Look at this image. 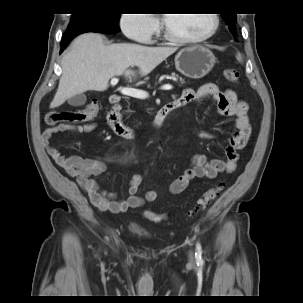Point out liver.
Returning a JSON list of instances; mask_svg holds the SVG:
<instances>
[{"mask_svg": "<svg viewBox=\"0 0 303 303\" xmlns=\"http://www.w3.org/2000/svg\"><path fill=\"white\" fill-rule=\"evenodd\" d=\"M104 39L97 33H85L74 40L62 58V75L50 108L88 90L105 91L114 76L131 80L135 73L129 67L137 66L145 76L177 50L129 43L106 45Z\"/></svg>", "mask_w": 303, "mask_h": 303, "instance_id": "6515ba94", "label": "liver"}]
</instances>
